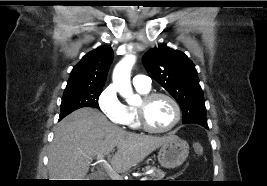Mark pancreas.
Wrapping results in <instances>:
<instances>
[{"label": "pancreas", "instance_id": "obj_1", "mask_svg": "<svg viewBox=\"0 0 267 186\" xmlns=\"http://www.w3.org/2000/svg\"><path fill=\"white\" fill-rule=\"evenodd\" d=\"M146 170L152 169L153 172L148 176L147 181H160L165 177V172L159 168L147 166Z\"/></svg>", "mask_w": 267, "mask_h": 186}]
</instances>
